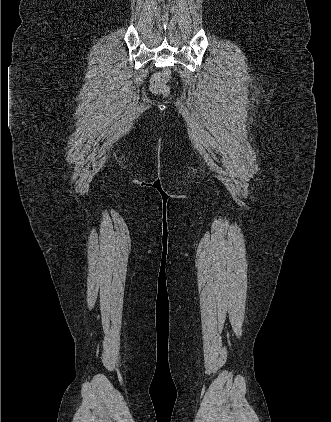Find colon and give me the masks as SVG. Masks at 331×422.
Returning <instances> with one entry per match:
<instances>
[{
	"label": "colon",
	"mask_w": 331,
	"mask_h": 422,
	"mask_svg": "<svg viewBox=\"0 0 331 422\" xmlns=\"http://www.w3.org/2000/svg\"><path fill=\"white\" fill-rule=\"evenodd\" d=\"M169 71L163 70L155 74L151 80V90L153 93L158 95H167L169 92L168 81H169Z\"/></svg>",
	"instance_id": "5ec220e1"
}]
</instances>
